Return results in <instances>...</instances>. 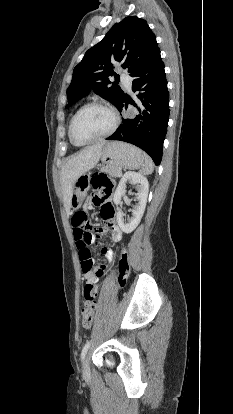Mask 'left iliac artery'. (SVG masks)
<instances>
[{
  "label": "left iliac artery",
  "instance_id": "44dca946",
  "mask_svg": "<svg viewBox=\"0 0 233 414\" xmlns=\"http://www.w3.org/2000/svg\"><path fill=\"white\" fill-rule=\"evenodd\" d=\"M90 345H91V341H87V343L85 344V346L83 347L82 352H81V360L84 359Z\"/></svg>",
  "mask_w": 233,
  "mask_h": 414
}]
</instances>
